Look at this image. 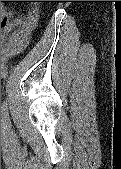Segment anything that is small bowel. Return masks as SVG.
Masks as SVG:
<instances>
[{"label":"small bowel","instance_id":"obj_1","mask_svg":"<svg viewBox=\"0 0 121 169\" xmlns=\"http://www.w3.org/2000/svg\"><path fill=\"white\" fill-rule=\"evenodd\" d=\"M40 18L37 8L15 17L11 10H4L2 20L1 55L12 59L22 53L29 45Z\"/></svg>","mask_w":121,"mask_h":169}]
</instances>
